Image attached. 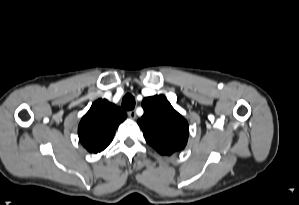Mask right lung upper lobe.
<instances>
[{
	"label": "right lung upper lobe",
	"instance_id": "1",
	"mask_svg": "<svg viewBox=\"0 0 299 205\" xmlns=\"http://www.w3.org/2000/svg\"><path fill=\"white\" fill-rule=\"evenodd\" d=\"M126 117L120 107L105 99H98L79 123L80 142L90 153L103 151L111 143L117 127Z\"/></svg>",
	"mask_w": 299,
	"mask_h": 205
}]
</instances>
